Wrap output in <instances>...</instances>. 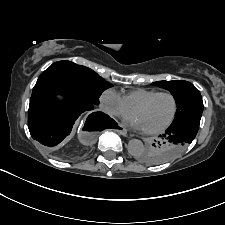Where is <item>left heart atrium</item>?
Wrapping results in <instances>:
<instances>
[{
    "label": "left heart atrium",
    "instance_id": "left-heart-atrium-1",
    "mask_svg": "<svg viewBox=\"0 0 225 225\" xmlns=\"http://www.w3.org/2000/svg\"><path fill=\"white\" fill-rule=\"evenodd\" d=\"M128 122H130V124L136 128V129H140V130H144L142 124L140 123V121L135 117H131L128 119Z\"/></svg>",
    "mask_w": 225,
    "mask_h": 225
}]
</instances>
